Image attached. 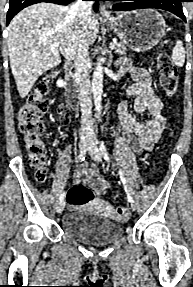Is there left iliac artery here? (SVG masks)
Wrapping results in <instances>:
<instances>
[{
  "label": "left iliac artery",
  "mask_w": 193,
  "mask_h": 287,
  "mask_svg": "<svg viewBox=\"0 0 193 287\" xmlns=\"http://www.w3.org/2000/svg\"><path fill=\"white\" fill-rule=\"evenodd\" d=\"M100 150H101V152H102V155H103L104 159H105L108 163H110V157H109V154H108V152H107L106 146H105V144H104L103 141L100 142ZM118 174H119V176H120V178H121V181H122V183H123L124 189H125V191H126L128 201H129L130 203H133V199H132L130 193L128 192V189H127V186H126V179H125V177H124L123 172H122L120 169L118 170Z\"/></svg>",
  "instance_id": "44dca946"
}]
</instances>
